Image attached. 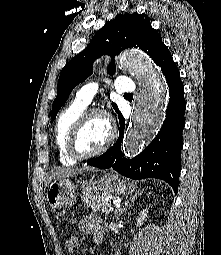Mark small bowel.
<instances>
[{
	"label": "small bowel",
	"mask_w": 221,
	"mask_h": 255,
	"mask_svg": "<svg viewBox=\"0 0 221 255\" xmlns=\"http://www.w3.org/2000/svg\"><path fill=\"white\" fill-rule=\"evenodd\" d=\"M80 229L83 233L91 234L93 241L101 240L103 236V228L101 221L97 216L90 215L84 218L80 223ZM78 246V238L73 236L67 242L70 252L75 251Z\"/></svg>",
	"instance_id": "obj_1"
}]
</instances>
